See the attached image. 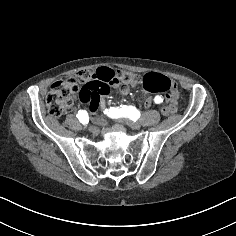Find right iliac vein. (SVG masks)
<instances>
[{
	"instance_id": "obj_1",
	"label": "right iliac vein",
	"mask_w": 236,
	"mask_h": 236,
	"mask_svg": "<svg viewBox=\"0 0 236 236\" xmlns=\"http://www.w3.org/2000/svg\"><path fill=\"white\" fill-rule=\"evenodd\" d=\"M89 128H90L89 130H90L91 132H92V131H95V126H92V125H91Z\"/></svg>"
}]
</instances>
